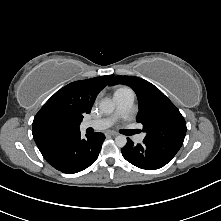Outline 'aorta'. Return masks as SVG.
I'll return each instance as SVG.
<instances>
[{
    "mask_svg": "<svg viewBox=\"0 0 221 221\" xmlns=\"http://www.w3.org/2000/svg\"><path fill=\"white\" fill-rule=\"evenodd\" d=\"M100 110L105 114H111L115 110V103L110 99H104L99 104ZM115 143L118 147H124L127 143V138L124 135H118L115 138Z\"/></svg>",
    "mask_w": 221,
    "mask_h": 221,
    "instance_id": "762f6f07",
    "label": "aorta"
}]
</instances>
